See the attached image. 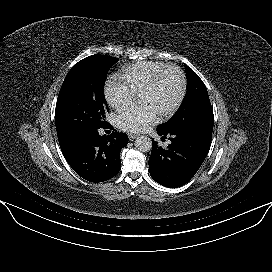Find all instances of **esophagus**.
Segmentation results:
<instances>
[{"instance_id": "esophagus-1", "label": "esophagus", "mask_w": 272, "mask_h": 272, "mask_svg": "<svg viewBox=\"0 0 272 272\" xmlns=\"http://www.w3.org/2000/svg\"><path fill=\"white\" fill-rule=\"evenodd\" d=\"M128 138H129V140H134L135 138H137V135L128 133Z\"/></svg>"}]
</instances>
